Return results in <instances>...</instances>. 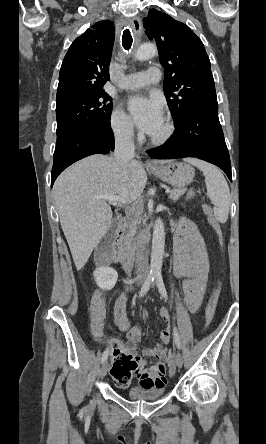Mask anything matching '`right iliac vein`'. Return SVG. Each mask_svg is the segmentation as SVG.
<instances>
[{
    "label": "right iliac vein",
    "instance_id": "obj_1",
    "mask_svg": "<svg viewBox=\"0 0 266 444\" xmlns=\"http://www.w3.org/2000/svg\"><path fill=\"white\" fill-rule=\"evenodd\" d=\"M142 282H143L142 280H139L138 284H142ZM107 371H108V362L105 360L100 368L99 376L101 379H103L106 376Z\"/></svg>",
    "mask_w": 266,
    "mask_h": 444
}]
</instances>
